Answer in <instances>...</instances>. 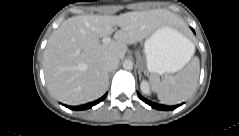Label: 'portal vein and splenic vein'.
<instances>
[{
	"instance_id": "obj_1",
	"label": "portal vein and splenic vein",
	"mask_w": 239,
	"mask_h": 136,
	"mask_svg": "<svg viewBox=\"0 0 239 136\" xmlns=\"http://www.w3.org/2000/svg\"><path fill=\"white\" fill-rule=\"evenodd\" d=\"M102 42H103L104 44H108V43L111 42V38H110V37H104V38L102 39Z\"/></svg>"
}]
</instances>
